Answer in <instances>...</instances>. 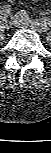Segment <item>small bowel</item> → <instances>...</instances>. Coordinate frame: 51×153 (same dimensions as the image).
Wrapping results in <instances>:
<instances>
[{
	"label": "small bowel",
	"instance_id": "obj_1",
	"mask_svg": "<svg viewBox=\"0 0 51 153\" xmlns=\"http://www.w3.org/2000/svg\"><path fill=\"white\" fill-rule=\"evenodd\" d=\"M8 2H13V1H15V0H7Z\"/></svg>",
	"mask_w": 51,
	"mask_h": 153
}]
</instances>
